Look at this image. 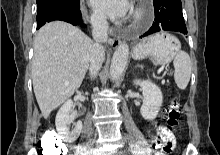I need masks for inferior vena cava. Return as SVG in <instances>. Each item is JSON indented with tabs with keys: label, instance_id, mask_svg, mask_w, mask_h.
I'll return each mask as SVG.
<instances>
[{
	"label": "inferior vena cava",
	"instance_id": "1",
	"mask_svg": "<svg viewBox=\"0 0 220 155\" xmlns=\"http://www.w3.org/2000/svg\"><path fill=\"white\" fill-rule=\"evenodd\" d=\"M90 21L92 24V36L95 43L89 57V71L91 77H94L97 75V72L100 70L104 61L105 53L102 43H105L108 40V22L103 14L98 13L93 14Z\"/></svg>",
	"mask_w": 220,
	"mask_h": 155
}]
</instances>
